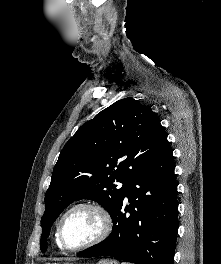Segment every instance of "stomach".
I'll return each instance as SVG.
<instances>
[{
  "label": "stomach",
  "instance_id": "1",
  "mask_svg": "<svg viewBox=\"0 0 221 264\" xmlns=\"http://www.w3.org/2000/svg\"><path fill=\"white\" fill-rule=\"evenodd\" d=\"M45 264H59V263L46 262ZM64 264H71V263H64ZM97 264H119V263L113 259H103L99 261Z\"/></svg>",
  "mask_w": 221,
  "mask_h": 264
}]
</instances>
